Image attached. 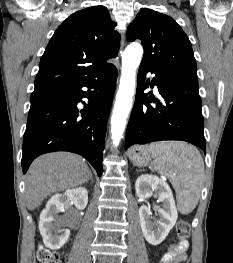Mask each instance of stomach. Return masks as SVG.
Listing matches in <instances>:
<instances>
[{
  "instance_id": "stomach-1",
  "label": "stomach",
  "mask_w": 233,
  "mask_h": 263,
  "mask_svg": "<svg viewBox=\"0 0 233 263\" xmlns=\"http://www.w3.org/2000/svg\"><path fill=\"white\" fill-rule=\"evenodd\" d=\"M129 158L135 166L143 167L148 165L153 156L146 146H135L129 152Z\"/></svg>"
}]
</instances>
